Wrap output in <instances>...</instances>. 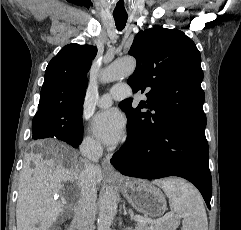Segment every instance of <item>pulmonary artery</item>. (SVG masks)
<instances>
[{"label":"pulmonary artery","instance_id":"obj_1","mask_svg":"<svg viewBox=\"0 0 241 230\" xmlns=\"http://www.w3.org/2000/svg\"><path fill=\"white\" fill-rule=\"evenodd\" d=\"M130 87L127 84L115 85L110 93L104 94L97 99V105L102 108L109 107L112 104V100H122L130 96Z\"/></svg>","mask_w":241,"mask_h":230}]
</instances>
